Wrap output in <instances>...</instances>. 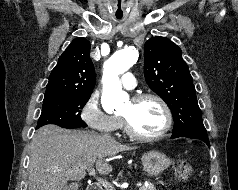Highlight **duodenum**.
Returning a JSON list of instances; mask_svg holds the SVG:
<instances>
[{"label": "duodenum", "instance_id": "410a0bca", "mask_svg": "<svg viewBox=\"0 0 238 190\" xmlns=\"http://www.w3.org/2000/svg\"><path fill=\"white\" fill-rule=\"evenodd\" d=\"M87 190H102V188L99 184L93 183L88 186Z\"/></svg>", "mask_w": 238, "mask_h": 190}]
</instances>
